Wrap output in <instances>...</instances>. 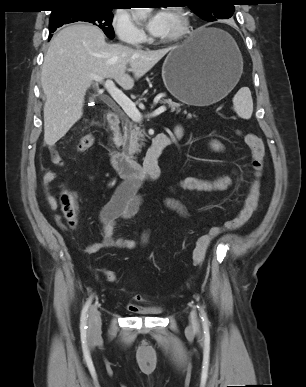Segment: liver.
Listing matches in <instances>:
<instances>
[{
    "label": "liver",
    "mask_w": 306,
    "mask_h": 387,
    "mask_svg": "<svg viewBox=\"0 0 306 387\" xmlns=\"http://www.w3.org/2000/svg\"><path fill=\"white\" fill-rule=\"evenodd\" d=\"M174 48L143 51L108 44L103 32L90 24L62 29L51 40L41 71L45 143L54 145L82 117L85 93L94 76L112 78L130 90L134 78L144 76ZM128 66L134 78L126 73Z\"/></svg>",
    "instance_id": "6515ba94"
}]
</instances>
